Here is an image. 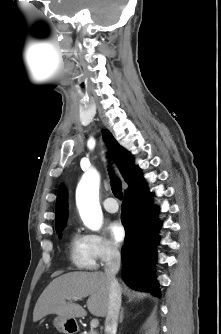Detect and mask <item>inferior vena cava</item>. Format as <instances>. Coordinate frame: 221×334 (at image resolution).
I'll use <instances>...</instances> for the list:
<instances>
[{"label": "inferior vena cava", "instance_id": "obj_1", "mask_svg": "<svg viewBox=\"0 0 221 334\" xmlns=\"http://www.w3.org/2000/svg\"><path fill=\"white\" fill-rule=\"evenodd\" d=\"M120 252L117 247L109 246L107 249V260L104 271L110 282L109 305L105 319L106 334H115L117 330L118 315L121 307V287L116 279L120 268Z\"/></svg>", "mask_w": 221, "mask_h": 334}]
</instances>
